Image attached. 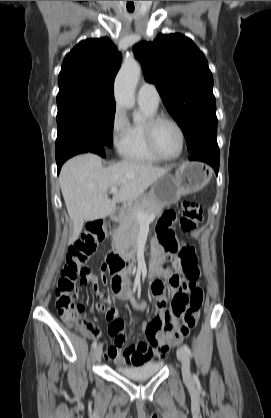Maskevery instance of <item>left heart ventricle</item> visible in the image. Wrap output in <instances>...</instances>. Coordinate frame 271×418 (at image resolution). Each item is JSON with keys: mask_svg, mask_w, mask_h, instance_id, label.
<instances>
[{"mask_svg": "<svg viewBox=\"0 0 271 418\" xmlns=\"http://www.w3.org/2000/svg\"><path fill=\"white\" fill-rule=\"evenodd\" d=\"M156 143L164 155H176L181 145L179 132L172 124L161 123L156 131Z\"/></svg>", "mask_w": 271, "mask_h": 418, "instance_id": "b2bd125f", "label": "left heart ventricle"}]
</instances>
